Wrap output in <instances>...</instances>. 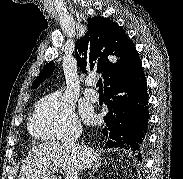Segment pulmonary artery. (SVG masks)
Returning <instances> with one entry per match:
<instances>
[{
	"label": "pulmonary artery",
	"mask_w": 183,
	"mask_h": 179,
	"mask_svg": "<svg viewBox=\"0 0 183 179\" xmlns=\"http://www.w3.org/2000/svg\"><path fill=\"white\" fill-rule=\"evenodd\" d=\"M93 84H94V81L92 79H88L86 81V85L88 87L84 90V96L90 101H96L98 99L97 92L93 88H91Z\"/></svg>",
	"instance_id": "obj_1"
}]
</instances>
